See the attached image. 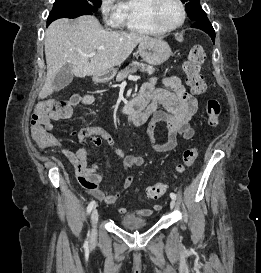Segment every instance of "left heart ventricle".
Returning a JSON list of instances; mask_svg holds the SVG:
<instances>
[{
	"mask_svg": "<svg viewBox=\"0 0 261 273\" xmlns=\"http://www.w3.org/2000/svg\"><path fill=\"white\" fill-rule=\"evenodd\" d=\"M161 22L168 27L175 26L181 20V11L175 0H164L159 10Z\"/></svg>",
	"mask_w": 261,
	"mask_h": 273,
	"instance_id": "1",
	"label": "left heart ventricle"
}]
</instances>
